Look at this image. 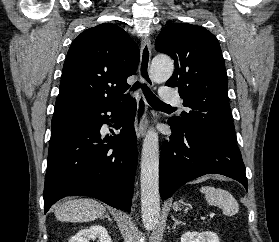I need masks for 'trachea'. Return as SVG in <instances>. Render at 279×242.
<instances>
[{"instance_id":"trachea-1","label":"trachea","mask_w":279,"mask_h":242,"mask_svg":"<svg viewBox=\"0 0 279 242\" xmlns=\"http://www.w3.org/2000/svg\"><path fill=\"white\" fill-rule=\"evenodd\" d=\"M137 88L142 89L143 94L150 105L158 106V107L172 108L170 105L165 104L158 97H156V95L153 94V92L149 89V87L145 83L136 82L133 85L132 89L136 90Z\"/></svg>"}]
</instances>
